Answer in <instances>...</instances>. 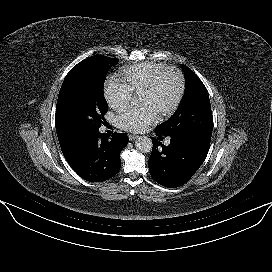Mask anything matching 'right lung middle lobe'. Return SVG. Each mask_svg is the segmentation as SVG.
<instances>
[{"label": "right lung middle lobe", "mask_w": 272, "mask_h": 272, "mask_svg": "<svg viewBox=\"0 0 272 272\" xmlns=\"http://www.w3.org/2000/svg\"><path fill=\"white\" fill-rule=\"evenodd\" d=\"M118 61L95 55L69 71L57 100V126L70 134L83 137H90L99 131L103 115L108 111L103 93L106 74Z\"/></svg>", "instance_id": "1"}]
</instances>
